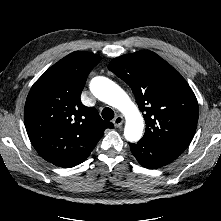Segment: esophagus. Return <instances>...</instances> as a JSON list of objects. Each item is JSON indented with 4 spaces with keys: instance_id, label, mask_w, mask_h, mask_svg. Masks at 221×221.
I'll return each instance as SVG.
<instances>
[{
    "instance_id": "1",
    "label": "esophagus",
    "mask_w": 221,
    "mask_h": 221,
    "mask_svg": "<svg viewBox=\"0 0 221 221\" xmlns=\"http://www.w3.org/2000/svg\"><path fill=\"white\" fill-rule=\"evenodd\" d=\"M124 123V119L122 116L118 115L113 119V124L115 127H121Z\"/></svg>"
}]
</instances>
